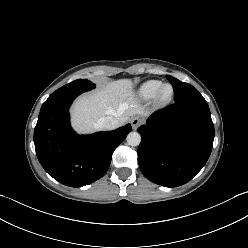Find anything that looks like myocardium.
Returning a JSON list of instances; mask_svg holds the SVG:
<instances>
[{
    "label": "myocardium",
    "instance_id": "myocardium-1",
    "mask_svg": "<svg viewBox=\"0 0 248 248\" xmlns=\"http://www.w3.org/2000/svg\"><path fill=\"white\" fill-rule=\"evenodd\" d=\"M166 88L170 89V92L168 95L164 94V91ZM173 96H174L173 86L169 83L162 84L154 96L155 104L157 106H166L172 101Z\"/></svg>",
    "mask_w": 248,
    "mask_h": 248
}]
</instances>
